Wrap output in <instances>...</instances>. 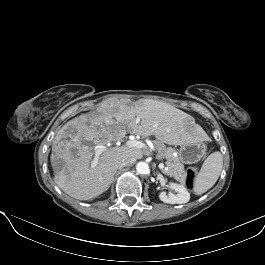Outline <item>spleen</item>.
<instances>
[{
  "mask_svg": "<svg viewBox=\"0 0 265 265\" xmlns=\"http://www.w3.org/2000/svg\"><path fill=\"white\" fill-rule=\"evenodd\" d=\"M222 167V154L218 151L211 153L195 178L193 190L196 195H201L214 186L220 176Z\"/></svg>",
  "mask_w": 265,
  "mask_h": 265,
  "instance_id": "3e777b00",
  "label": "spleen"
}]
</instances>
